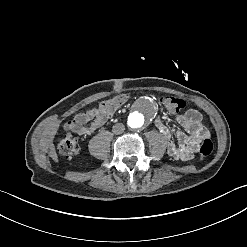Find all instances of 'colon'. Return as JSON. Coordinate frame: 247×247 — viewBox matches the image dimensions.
<instances>
[{
  "mask_svg": "<svg viewBox=\"0 0 247 247\" xmlns=\"http://www.w3.org/2000/svg\"><path fill=\"white\" fill-rule=\"evenodd\" d=\"M128 95L126 92H116L114 96H105L104 100L99 103L101 113L103 116H113L117 105H125ZM184 100L176 99L174 97H167L163 101V106L172 112H179L185 107ZM214 144L209 137L202 141L199 147V154L201 158H206L212 154ZM59 152L66 158H73L78 153V138L74 133H66L62 136L59 144Z\"/></svg>",
  "mask_w": 247,
  "mask_h": 247,
  "instance_id": "obj_1",
  "label": "colon"
}]
</instances>
